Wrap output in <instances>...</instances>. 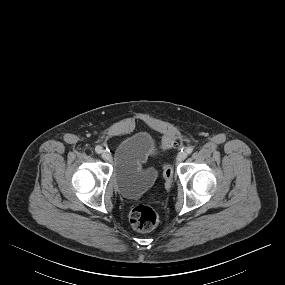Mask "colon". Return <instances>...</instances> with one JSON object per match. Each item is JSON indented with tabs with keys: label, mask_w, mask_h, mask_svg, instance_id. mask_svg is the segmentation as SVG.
Wrapping results in <instances>:
<instances>
[{
	"label": "colon",
	"mask_w": 285,
	"mask_h": 285,
	"mask_svg": "<svg viewBox=\"0 0 285 285\" xmlns=\"http://www.w3.org/2000/svg\"><path fill=\"white\" fill-rule=\"evenodd\" d=\"M175 144V139L166 137L161 146L163 149L172 147ZM163 177L166 187H170L173 182V169L169 164L163 166ZM130 223L134 230L139 232H147L153 230L159 222L157 212L148 205H138L130 212Z\"/></svg>",
	"instance_id": "colon-1"
}]
</instances>
